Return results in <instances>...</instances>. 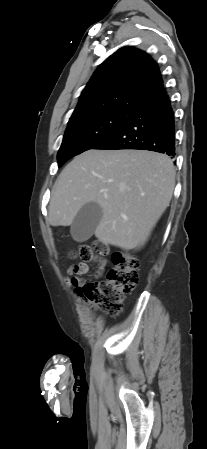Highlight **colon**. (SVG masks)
Masks as SVG:
<instances>
[{
    "mask_svg": "<svg viewBox=\"0 0 207 449\" xmlns=\"http://www.w3.org/2000/svg\"><path fill=\"white\" fill-rule=\"evenodd\" d=\"M109 250L100 241L83 243L70 252L71 259L80 258L82 262H96V276H101L108 264ZM112 268L104 281H89L77 288V293L111 316H116L122 309L125 294L133 291L138 284L139 262L129 252L112 255Z\"/></svg>",
    "mask_w": 207,
    "mask_h": 449,
    "instance_id": "obj_1",
    "label": "colon"
}]
</instances>
